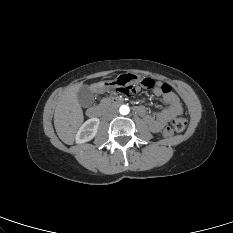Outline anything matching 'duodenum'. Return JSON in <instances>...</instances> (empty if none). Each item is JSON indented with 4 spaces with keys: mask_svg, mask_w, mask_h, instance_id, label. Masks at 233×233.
I'll use <instances>...</instances> for the list:
<instances>
[{
    "mask_svg": "<svg viewBox=\"0 0 233 233\" xmlns=\"http://www.w3.org/2000/svg\"><path fill=\"white\" fill-rule=\"evenodd\" d=\"M122 103V100L119 98H110L103 102L100 105H96L93 107H90L87 111V114L90 118H99L101 114L109 107L120 105Z\"/></svg>",
    "mask_w": 233,
    "mask_h": 233,
    "instance_id": "410a0bca",
    "label": "duodenum"
}]
</instances>
